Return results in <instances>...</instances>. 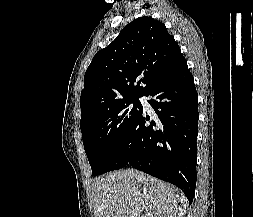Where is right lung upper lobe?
<instances>
[{"label": "right lung upper lobe", "mask_w": 253, "mask_h": 217, "mask_svg": "<svg viewBox=\"0 0 253 217\" xmlns=\"http://www.w3.org/2000/svg\"><path fill=\"white\" fill-rule=\"evenodd\" d=\"M184 60L162 22L152 17L133 20L108 47L96 53L87 68L80 125L115 104L145 96Z\"/></svg>", "instance_id": "obj_1"}]
</instances>
